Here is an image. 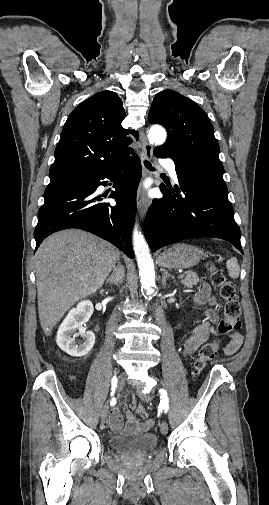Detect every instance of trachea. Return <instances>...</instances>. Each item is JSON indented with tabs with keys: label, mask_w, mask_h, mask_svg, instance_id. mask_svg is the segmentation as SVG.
Listing matches in <instances>:
<instances>
[{
	"label": "trachea",
	"mask_w": 269,
	"mask_h": 505,
	"mask_svg": "<svg viewBox=\"0 0 269 505\" xmlns=\"http://www.w3.org/2000/svg\"><path fill=\"white\" fill-rule=\"evenodd\" d=\"M144 164H145V166H146L147 168H149V169H153V168H152V166H151V163H150V162L145 161V162H144Z\"/></svg>",
	"instance_id": "1"
}]
</instances>
